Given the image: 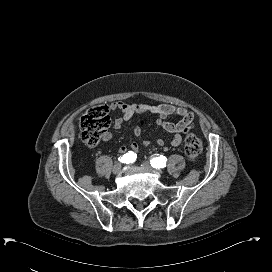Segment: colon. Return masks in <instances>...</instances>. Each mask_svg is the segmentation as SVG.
Listing matches in <instances>:
<instances>
[{"label":"colon","instance_id":"1","mask_svg":"<svg viewBox=\"0 0 272 272\" xmlns=\"http://www.w3.org/2000/svg\"><path fill=\"white\" fill-rule=\"evenodd\" d=\"M108 105H98L89 108L78 122V130L82 141L89 145L95 146L100 141L103 133L110 126V117L108 115ZM202 145L200 139L190 134L184 142V151L187 158L194 162L201 153Z\"/></svg>","mask_w":272,"mask_h":272}]
</instances>
